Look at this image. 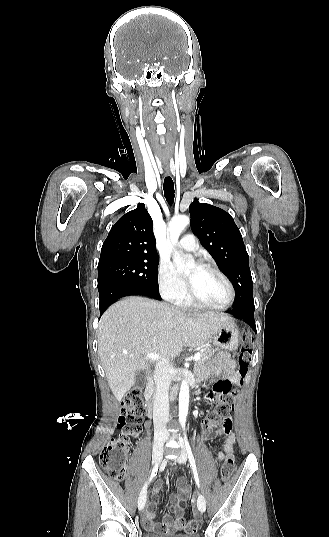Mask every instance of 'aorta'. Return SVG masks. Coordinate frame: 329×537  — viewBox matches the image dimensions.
I'll return each mask as SVG.
<instances>
[{"label": "aorta", "instance_id": "1", "mask_svg": "<svg viewBox=\"0 0 329 537\" xmlns=\"http://www.w3.org/2000/svg\"><path fill=\"white\" fill-rule=\"evenodd\" d=\"M190 220L186 215L174 217L168 226L169 235L173 245L178 242L181 232L188 226ZM177 267L180 271L188 272L190 268L195 266L194 259L189 256L185 260L176 259ZM189 407V385L186 379H183L179 392V422L182 426L186 423Z\"/></svg>", "mask_w": 329, "mask_h": 537}]
</instances>
